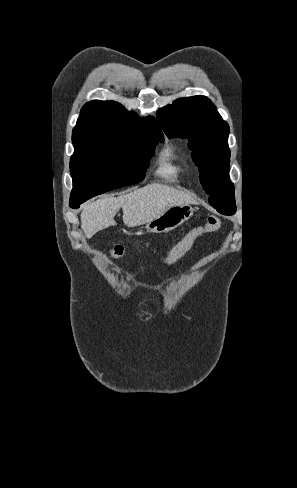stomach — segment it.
Segmentation results:
<instances>
[{"label": "stomach", "mask_w": 297, "mask_h": 488, "mask_svg": "<svg viewBox=\"0 0 297 488\" xmlns=\"http://www.w3.org/2000/svg\"><path fill=\"white\" fill-rule=\"evenodd\" d=\"M194 209L190 204H177L171 206L146 224L148 232L167 233L189 220Z\"/></svg>", "instance_id": "obj_1"}]
</instances>
